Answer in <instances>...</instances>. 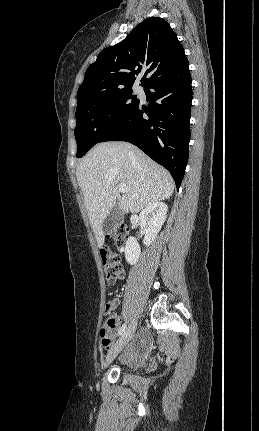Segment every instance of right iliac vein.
Returning a JSON list of instances; mask_svg holds the SVG:
<instances>
[{
  "label": "right iliac vein",
  "mask_w": 259,
  "mask_h": 431,
  "mask_svg": "<svg viewBox=\"0 0 259 431\" xmlns=\"http://www.w3.org/2000/svg\"><path fill=\"white\" fill-rule=\"evenodd\" d=\"M136 324V321H133L124 331L114 348L108 353L106 360L103 364L104 368H106L115 359V357L120 353L124 346L131 340L136 328Z\"/></svg>",
  "instance_id": "63e3f726"
}]
</instances>
